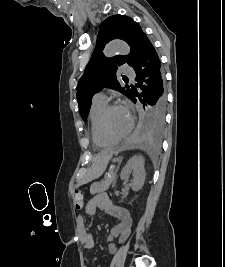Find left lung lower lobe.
Wrapping results in <instances>:
<instances>
[{
    "label": "left lung lower lobe",
    "mask_w": 225,
    "mask_h": 267,
    "mask_svg": "<svg viewBox=\"0 0 225 267\" xmlns=\"http://www.w3.org/2000/svg\"><path fill=\"white\" fill-rule=\"evenodd\" d=\"M132 67L136 72V87L142 92L138 93L136 88H131L129 99L134 103L139 100L143 105H150V109L165 111L164 74L160 59L146 35L141 41L137 59Z\"/></svg>",
    "instance_id": "0a47b994"
}]
</instances>
